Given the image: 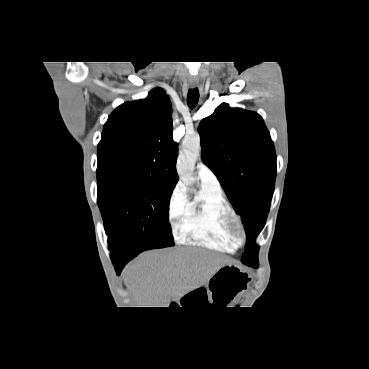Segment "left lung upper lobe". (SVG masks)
<instances>
[{
    "instance_id": "left-lung-upper-lobe-1",
    "label": "left lung upper lobe",
    "mask_w": 369,
    "mask_h": 369,
    "mask_svg": "<svg viewBox=\"0 0 369 369\" xmlns=\"http://www.w3.org/2000/svg\"><path fill=\"white\" fill-rule=\"evenodd\" d=\"M202 160L217 176L242 217L247 243L241 261L258 267L254 240L262 230L274 192L276 155L262 117L220 104L198 128Z\"/></svg>"
}]
</instances>
